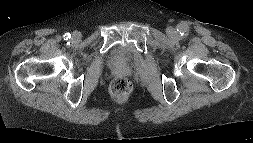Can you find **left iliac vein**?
<instances>
[{"mask_svg":"<svg viewBox=\"0 0 253 143\" xmlns=\"http://www.w3.org/2000/svg\"><path fill=\"white\" fill-rule=\"evenodd\" d=\"M167 34L171 39H177V32L173 28L168 29Z\"/></svg>","mask_w":253,"mask_h":143,"instance_id":"left-iliac-vein-1","label":"left iliac vein"}]
</instances>
